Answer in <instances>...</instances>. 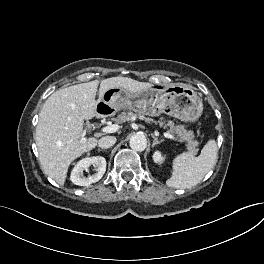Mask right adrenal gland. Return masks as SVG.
I'll use <instances>...</instances> for the list:
<instances>
[{"label":"right adrenal gland","mask_w":264,"mask_h":264,"mask_svg":"<svg viewBox=\"0 0 264 264\" xmlns=\"http://www.w3.org/2000/svg\"><path fill=\"white\" fill-rule=\"evenodd\" d=\"M103 151L102 149H98V152Z\"/></svg>","instance_id":"right-adrenal-gland-1"}]
</instances>
